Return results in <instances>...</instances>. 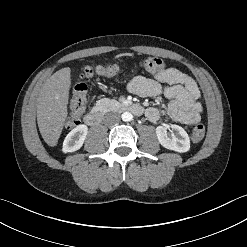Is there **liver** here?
<instances>
[{
    "label": "liver",
    "instance_id": "obj_1",
    "mask_svg": "<svg viewBox=\"0 0 247 247\" xmlns=\"http://www.w3.org/2000/svg\"><path fill=\"white\" fill-rule=\"evenodd\" d=\"M71 70L69 67L55 72L43 84L37 104V123L44 141L55 146L68 115Z\"/></svg>",
    "mask_w": 247,
    "mask_h": 247
}]
</instances>
